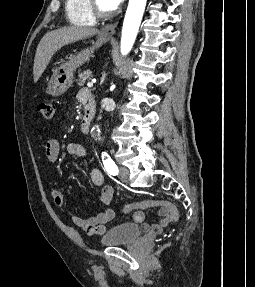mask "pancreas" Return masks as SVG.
<instances>
[{
	"mask_svg": "<svg viewBox=\"0 0 255 287\" xmlns=\"http://www.w3.org/2000/svg\"><path fill=\"white\" fill-rule=\"evenodd\" d=\"M78 78L79 80H76L78 86H84L87 80H92L93 74L92 72H90V70H85V72H82V74H79Z\"/></svg>",
	"mask_w": 255,
	"mask_h": 287,
	"instance_id": "pancreas-1",
	"label": "pancreas"
}]
</instances>
